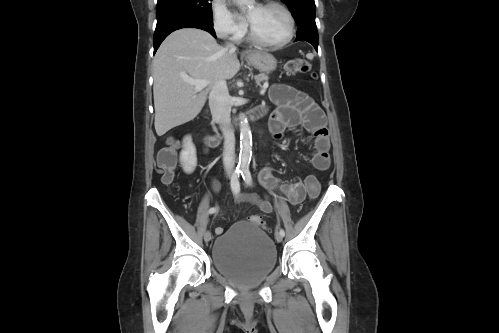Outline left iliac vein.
Listing matches in <instances>:
<instances>
[{"label":"left iliac vein","instance_id":"1","mask_svg":"<svg viewBox=\"0 0 499 333\" xmlns=\"http://www.w3.org/2000/svg\"><path fill=\"white\" fill-rule=\"evenodd\" d=\"M275 239H276L277 242H282L283 236L280 233L277 232L275 234Z\"/></svg>","mask_w":499,"mask_h":333}]
</instances>
